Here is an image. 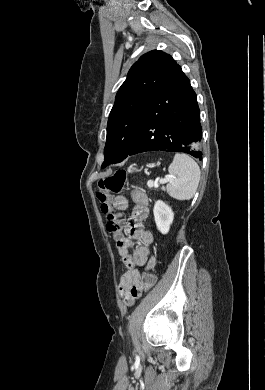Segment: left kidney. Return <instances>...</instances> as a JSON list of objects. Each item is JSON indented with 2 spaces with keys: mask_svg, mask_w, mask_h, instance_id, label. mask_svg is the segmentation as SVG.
Listing matches in <instances>:
<instances>
[{
  "mask_svg": "<svg viewBox=\"0 0 265 390\" xmlns=\"http://www.w3.org/2000/svg\"><path fill=\"white\" fill-rule=\"evenodd\" d=\"M153 214L157 229L162 234H167L174 219L171 207L165 202L158 200L154 205Z\"/></svg>",
  "mask_w": 265,
  "mask_h": 390,
  "instance_id": "obj_1",
  "label": "left kidney"
}]
</instances>
